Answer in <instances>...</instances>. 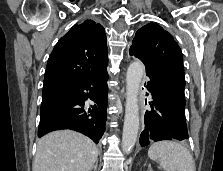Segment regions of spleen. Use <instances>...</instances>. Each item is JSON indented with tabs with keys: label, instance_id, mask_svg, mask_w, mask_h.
I'll return each instance as SVG.
<instances>
[{
	"label": "spleen",
	"instance_id": "1",
	"mask_svg": "<svg viewBox=\"0 0 223 171\" xmlns=\"http://www.w3.org/2000/svg\"><path fill=\"white\" fill-rule=\"evenodd\" d=\"M148 156L158 162L165 171H195L189 150L174 141L153 143L148 150Z\"/></svg>",
	"mask_w": 223,
	"mask_h": 171
}]
</instances>
